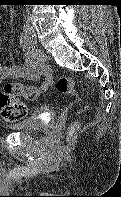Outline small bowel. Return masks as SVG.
Segmentation results:
<instances>
[{"mask_svg": "<svg viewBox=\"0 0 121 197\" xmlns=\"http://www.w3.org/2000/svg\"><path fill=\"white\" fill-rule=\"evenodd\" d=\"M18 41L23 51V61L10 66H6L0 62V83L6 78H27L36 80L40 77H44V80L39 87H32L34 90V97L31 100H35L51 86V73L49 68L43 63L40 53L33 50L32 45L29 43L25 35L19 34ZM1 45L2 39L0 37V48Z\"/></svg>", "mask_w": 121, "mask_h": 197, "instance_id": "c3829d8e", "label": "small bowel"}]
</instances>
